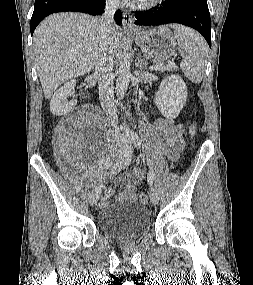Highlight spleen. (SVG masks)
Segmentation results:
<instances>
[{
  "label": "spleen",
  "instance_id": "obj_1",
  "mask_svg": "<svg viewBox=\"0 0 253 285\" xmlns=\"http://www.w3.org/2000/svg\"><path fill=\"white\" fill-rule=\"evenodd\" d=\"M174 28L178 51L183 58L180 67L190 81L200 83L207 63L208 46L203 37L193 29L181 25H175Z\"/></svg>",
  "mask_w": 253,
  "mask_h": 285
}]
</instances>
